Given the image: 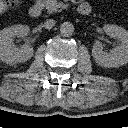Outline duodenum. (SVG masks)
<instances>
[{
    "label": "duodenum",
    "mask_w": 128,
    "mask_h": 128,
    "mask_svg": "<svg viewBox=\"0 0 128 128\" xmlns=\"http://www.w3.org/2000/svg\"><path fill=\"white\" fill-rule=\"evenodd\" d=\"M43 7L40 1H36L30 7L29 13L33 18H39L42 14ZM77 11L81 15H88L91 12V7L87 2H82L78 5Z\"/></svg>",
    "instance_id": "410a0bca"
}]
</instances>
